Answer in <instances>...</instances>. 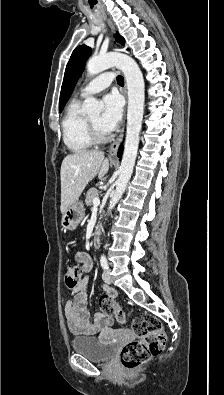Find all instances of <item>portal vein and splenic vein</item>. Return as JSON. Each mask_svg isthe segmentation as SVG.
I'll list each match as a JSON object with an SVG mask.
<instances>
[{
	"mask_svg": "<svg viewBox=\"0 0 224 395\" xmlns=\"http://www.w3.org/2000/svg\"><path fill=\"white\" fill-rule=\"evenodd\" d=\"M93 205H94L95 207H97V206L100 205V199H99V197H95V198L93 199Z\"/></svg>",
	"mask_w": 224,
	"mask_h": 395,
	"instance_id": "18ae733b",
	"label": "portal vein and splenic vein"
}]
</instances>
